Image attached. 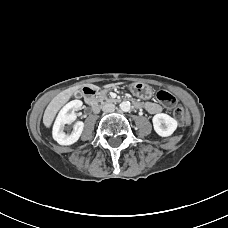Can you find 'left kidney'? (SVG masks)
Segmentation results:
<instances>
[{"label": "left kidney", "instance_id": "obj_1", "mask_svg": "<svg viewBox=\"0 0 228 228\" xmlns=\"http://www.w3.org/2000/svg\"><path fill=\"white\" fill-rule=\"evenodd\" d=\"M152 122L155 132L161 137L171 136L178 125L174 118L165 113L154 115Z\"/></svg>", "mask_w": 228, "mask_h": 228}]
</instances>
